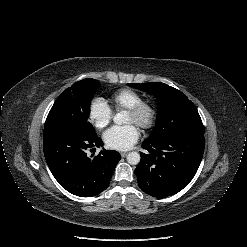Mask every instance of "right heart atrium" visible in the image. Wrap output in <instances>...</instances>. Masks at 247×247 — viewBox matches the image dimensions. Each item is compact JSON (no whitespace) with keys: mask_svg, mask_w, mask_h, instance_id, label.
<instances>
[{"mask_svg":"<svg viewBox=\"0 0 247 247\" xmlns=\"http://www.w3.org/2000/svg\"><path fill=\"white\" fill-rule=\"evenodd\" d=\"M110 106L101 98L93 99L88 108V116L93 125L102 129L106 127L112 119Z\"/></svg>","mask_w":247,"mask_h":247,"instance_id":"right-heart-atrium-1","label":"right heart atrium"}]
</instances>
